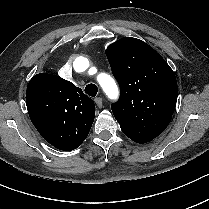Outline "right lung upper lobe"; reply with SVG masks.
Here are the masks:
<instances>
[{
	"instance_id": "obj_1",
	"label": "right lung upper lobe",
	"mask_w": 209,
	"mask_h": 209,
	"mask_svg": "<svg viewBox=\"0 0 209 209\" xmlns=\"http://www.w3.org/2000/svg\"><path fill=\"white\" fill-rule=\"evenodd\" d=\"M26 105L38 132L64 151L76 149L87 137L95 117V105L79 87L47 73L35 75L27 86Z\"/></svg>"
}]
</instances>
